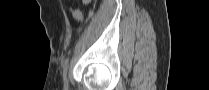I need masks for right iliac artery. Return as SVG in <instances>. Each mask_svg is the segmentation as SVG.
I'll return each instance as SVG.
<instances>
[{
  "mask_svg": "<svg viewBox=\"0 0 209 90\" xmlns=\"http://www.w3.org/2000/svg\"><path fill=\"white\" fill-rule=\"evenodd\" d=\"M68 60L65 61V70H67Z\"/></svg>",
  "mask_w": 209,
  "mask_h": 90,
  "instance_id": "1",
  "label": "right iliac artery"
}]
</instances>
